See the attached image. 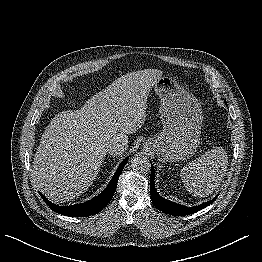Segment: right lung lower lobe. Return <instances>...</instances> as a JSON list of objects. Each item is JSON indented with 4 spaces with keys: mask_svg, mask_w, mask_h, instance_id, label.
<instances>
[{
    "mask_svg": "<svg viewBox=\"0 0 262 262\" xmlns=\"http://www.w3.org/2000/svg\"><path fill=\"white\" fill-rule=\"evenodd\" d=\"M128 158H125L121 164L119 165L117 171L115 172L113 178L111 179L108 186L105 188L103 192H101L98 196L94 197L91 200H88L81 204H75L70 206H57L40 193V196L45 201V203L56 213L71 216V217H88L100 212L104 207L112 199L114 192L116 190L118 178L122 173V170L127 162Z\"/></svg>",
    "mask_w": 262,
    "mask_h": 262,
    "instance_id": "98d812e1",
    "label": "right lung lower lobe"
}]
</instances>
